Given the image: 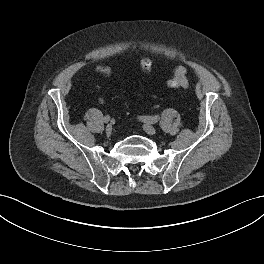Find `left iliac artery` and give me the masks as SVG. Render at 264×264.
Masks as SVG:
<instances>
[{
  "instance_id": "44dca946",
  "label": "left iliac artery",
  "mask_w": 264,
  "mask_h": 264,
  "mask_svg": "<svg viewBox=\"0 0 264 264\" xmlns=\"http://www.w3.org/2000/svg\"><path fill=\"white\" fill-rule=\"evenodd\" d=\"M141 119L146 123L154 124L159 121V116H142Z\"/></svg>"
}]
</instances>
